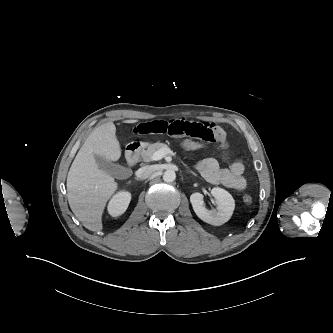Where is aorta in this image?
Returning a JSON list of instances; mask_svg holds the SVG:
<instances>
[{
  "label": "aorta",
  "mask_w": 333,
  "mask_h": 333,
  "mask_svg": "<svg viewBox=\"0 0 333 333\" xmlns=\"http://www.w3.org/2000/svg\"><path fill=\"white\" fill-rule=\"evenodd\" d=\"M176 179V173L174 170H166L163 174V180L167 183L173 182Z\"/></svg>",
  "instance_id": "obj_1"
}]
</instances>
